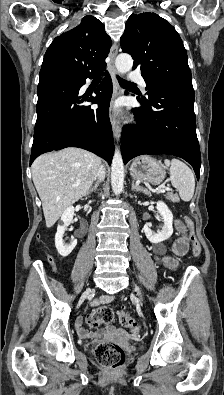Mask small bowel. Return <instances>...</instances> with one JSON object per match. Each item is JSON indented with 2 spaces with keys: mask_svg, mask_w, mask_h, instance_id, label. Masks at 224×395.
I'll return each mask as SVG.
<instances>
[{
  "mask_svg": "<svg viewBox=\"0 0 224 395\" xmlns=\"http://www.w3.org/2000/svg\"><path fill=\"white\" fill-rule=\"evenodd\" d=\"M176 225H177L181 234L175 239V241L172 245V250H173L174 255L177 257V256H181L187 252L188 239L183 234L184 228L181 225V223L179 221H177ZM176 257H168V256L161 257L159 255H155L154 259L169 269H175L179 264L178 259ZM111 300H113V297L109 296V295L102 296L100 298V302H107V301H111ZM76 329L82 337H90L91 336V334L84 328L82 318H78L76 320Z\"/></svg>",
  "mask_w": 224,
  "mask_h": 395,
  "instance_id": "1",
  "label": "small bowel"
}]
</instances>
